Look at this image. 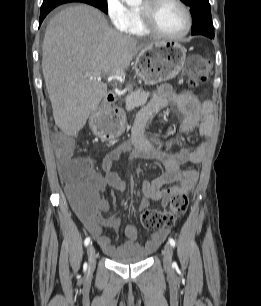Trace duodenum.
<instances>
[{
    "instance_id": "duodenum-1",
    "label": "duodenum",
    "mask_w": 261,
    "mask_h": 306,
    "mask_svg": "<svg viewBox=\"0 0 261 306\" xmlns=\"http://www.w3.org/2000/svg\"><path fill=\"white\" fill-rule=\"evenodd\" d=\"M114 101H115V94L112 91L108 92L105 98L106 105H112Z\"/></svg>"
}]
</instances>
